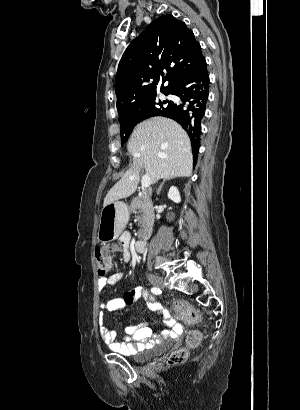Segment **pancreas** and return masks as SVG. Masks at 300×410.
<instances>
[{
  "instance_id": "pancreas-1",
  "label": "pancreas",
  "mask_w": 300,
  "mask_h": 410,
  "mask_svg": "<svg viewBox=\"0 0 300 410\" xmlns=\"http://www.w3.org/2000/svg\"><path fill=\"white\" fill-rule=\"evenodd\" d=\"M129 211L137 214L136 220L138 222L139 235L150 233L153 226L154 214L152 213L146 195L137 196L131 202Z\"/></svg>"
}]
</instances>
